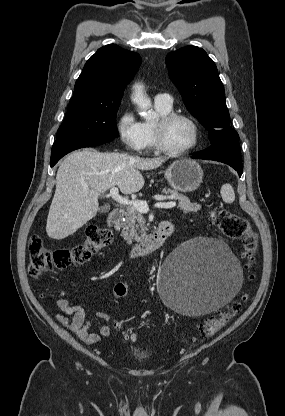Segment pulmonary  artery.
Masks as SVG:
<instances>
[{"instance_id": "obj_1", "label": "pulmonary artery", "mask_w": 285, "mask_h": 416, "mask_svg": "<svg viewBox=\"0 0 285 416\" xmlns=\"http://www.w3.org/2000/svg\"><path fill=\"white\" fill-rule=\"evenodd\" d=\"M155 102L171 107L173 99L168 93H158L155 95Z\"/></svg>"}]
</instances>
